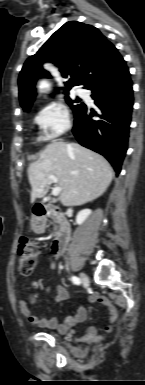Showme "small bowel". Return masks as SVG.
Wrapping results in <instances>:
<instances>
[{
	"mask_svg": "<svg viewBox=\"0 0 145 385\" xmlns=\"http://www.w3.org/2000/svg\"><path fill=\"white\" fill-rule=\"evenodd\" d=\"M51 269H55V264L51 262ZM69 297L68 291L61 285L56 287V303H62L66 301ZM91 302L99 303L108 307L109 315L108 322L109 324L104 326V335L100 336L96 327L91 326L87 329L86 333L75 339L76 343H96L107 337L112 332L111 323L115 322L117 319V309L113 303L105 296L99 295L97 293L92 294L89 297ZM19 310L21 314L31 323L37 325L41 328L57 330L59 333L66 336L68 341L74 340V326L80 322H83L87 317V311L84 306H80L77 311L72 315L67 317L63 322H59L57 317L45 318L39 317L35 314H32L29 306L24 300H19L18 302Z\"/></svg>",
	"mask_w": 145,
	"mask_h": 385,
	"instance_id": "c3829d8e",
	"label": "small bowel"
}]
</instances>
